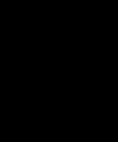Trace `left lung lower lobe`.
<instances>
[{
	"label": "left lung lower lobe",
	"mask_w": 118,
	"mask_h": 142,
	"mask_svg": "<svg viewBox=\"0 0 118 142\" xmlns=\"http://www.w3.org/2000/svg\"><path fill=\"white\" fill-rule=\"evenodd\" d=\"M61 124L64 133L69 135L73 142H94L102 131L90 125L73 110H68L62 116Z\"/></svg>",
	"instance_id": "1"
}]
</instances>
